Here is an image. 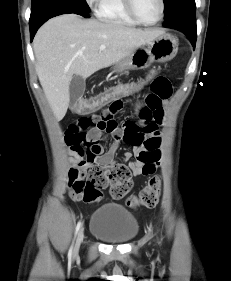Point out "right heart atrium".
<instances>
[{
  "label": "right heart atrium",
  "mask_w": 231,
  "mask_h": 281,
  "mask_svg": "<svg viewBox=\"0 0 231 281\" xmlns=\"http://www.w3.org/2000/svg\"><path fill=\"white\" fill-rule=\"evenodd\" d=\"M100 0H85V2L92 8L98 5Z\"/></svg>",
  "instance_id": "1"
}]
</instances>
